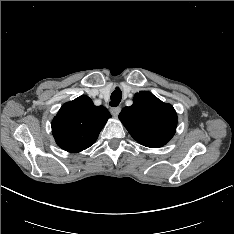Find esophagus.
I'll list each match as a JSON object with an SVG mask.
<instances>
[{"label":"esophagus","mask_w":234,"mask_h":234,"mask_svg":"<svg viewBox=\"0 0 234 234\" xmlns=\"http://www.w3.org/2000/svg\"><path fill=\"white\" fill-rule=\"evenodd\" d=\"M120 111H121V108H120V107H115V108H112V109L110 110V112H111V114H112L113 116H118L119 113H120Z\"/></svg>","instance_id":"esophagus-1"}]
</instances>
